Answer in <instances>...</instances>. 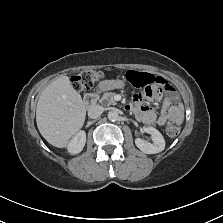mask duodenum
Here are the masks:
<instances>
[{
  "label": "duodenum",
  "mask_w": 223,
  "mask_h": 223,
  "mask_svg": "<svg viewBox=\"0 0 223 223\" xmlns=\"http://www.w3.org/2000/svg\"><path fill=\"white\" fill-rule=\"evenodd\" d=\"M99 93H100V88H97L94 91L85 93V95H84V103L87 106L94 105L97 102Z\"/></svg>",
  "instance_id": "410a0bca"
}]
</instances>
